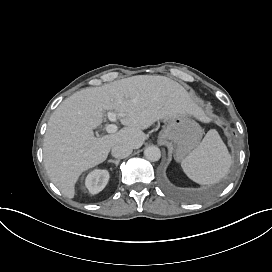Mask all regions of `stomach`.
Wrapping results in <instances>:
<instances>
[{
  "instance_id": "0dacf381",
  "label": "stomach",
  "mask_w": 272,
  "mask_h": 272,
  "mask_svg": "<svg viewBox=\"0 0 272 272\" xmlns=\"http://www.w3.org/2000/svg\"><path fill=\"white\" fill-rule=\"evenodd\" d=\"M158 135L159 141L171 140L175 143V159L181 160L196 148L202 136L201 127L188 117L170 118Z\"/></svg>"
}]
</instances>
